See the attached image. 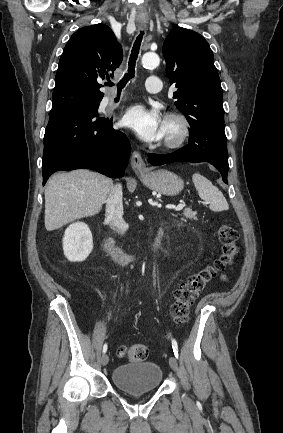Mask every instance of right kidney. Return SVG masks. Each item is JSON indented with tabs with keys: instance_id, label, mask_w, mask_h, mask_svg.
Wrapping results in <instances>:
<instances>
[{
	"instance_id": "1",
	"label": "right kidney",
	"mask_w": 283,
	"mask_h": 433,
	"mask_svg": "<svg viewBox=\"0 0 283 433\" xmlns=\"http://www.w3.org/2000/svg\"><path fill=\"white\" fill-rule=\"evenodd\" d=\"M93 249L92 233L83 222H76L66 229L63 237V251L71 262L84 261Z\"/></svg>"
}]
</instances>
